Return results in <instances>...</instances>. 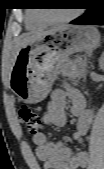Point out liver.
Wrapping results in <instances>:
<instances>
[{
  "instance_id": "1",
  "label": "liver",
  "mask_w": 104,
  "mask_h": 169,
  "mask_svg": "<svg viewBox=\"0 0 104 169\" xmlns=\"http://www.w3.org/2000/svg\"><path fill=\"white\" fill-rule=\"evenodd\" d=\"M61 27H63V26H60V27H57L54 29H50V30H46V31H39L36 33L21 35L19 38L16 39V42H15V48H14V53H13L14 61H15L17 54L21 48L25 47L29 43H32V42L38 40L39 38H41L42 36L52 32L58 28H61Z\"/></svg>"
}]
</instances>
